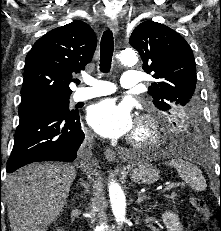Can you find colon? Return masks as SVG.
I'll return each instance as SVG.
<instances>
[{"instance_id": "colon-1", "label": "colon", "mask_w": 221, "mask_h": 231, "mask_svg": "<svg viewBox=\"0 0 221 231\" xmlns=\"http://www.w3.org/2000/svg\"><path fill=\"white\" fill-rule=\"evenodd\" d=\"M191 205L202 215L204 220L209 221L211 218V213L206 205V203L203 201V199L199 197H192Z\"/></svg>"}]
</instances>
